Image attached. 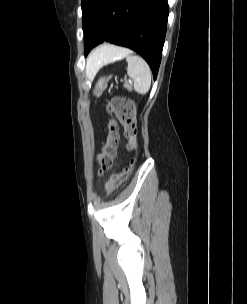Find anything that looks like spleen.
<instances>
[{
    "label": "spleen",
    "instance_id": "1",
    "mask_svg": "<svg viewBox=\"0 0 247 304\" xmlns=\"http://www.w3.org/2000/svg\"><path fill=\"white\" fill-rule=\"evenodd\" d=\"M124 57H126L128 63L127 74L133 79L134 90L139 94L147 93L151 86V70L142 57L131 55L128 51H122L118 54H113L106 63L114 62Z\"/></svg>",
    "mask_w": 247,
    "mask_h": 304
}]
</instances>
